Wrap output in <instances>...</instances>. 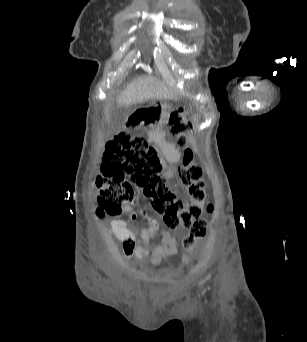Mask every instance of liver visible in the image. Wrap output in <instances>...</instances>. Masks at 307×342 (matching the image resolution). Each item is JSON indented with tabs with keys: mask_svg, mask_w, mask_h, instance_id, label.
Returning a JSON list of instances; mask_svg holds the SVG:
<instances>
[{
	"mask_svg": "<svg viewBox=\"0 0 307 342\" xmlns=\"http://www.w3.org/2000/svg\"><path fill=\"white\" fill-rule=\"evenodd\" d=\"M176 92L169 90L157 76H138L119 94L118 102L122 106H132L146 100H173Z\"/></svg>",
	"mask_w": 307,
	"mask_h": 342,
	"instance_id": "liver-1",
	"label": "liver"
}]
</instances>
